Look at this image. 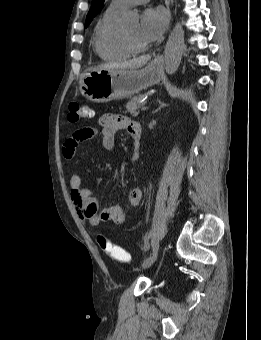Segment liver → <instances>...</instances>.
Wrapping results in <instances>:
<instances>
[{
  "label": "liver",
  "mask_w": 261,
  "mask_h": 340,
  "mask_svg": "<svg viewBox=\"0 0 261 340\" xmlns=\"http://www.w3.org/2000/svg\"><path fill=\"white\" fill-rule=\"evenodd\" d=\"M150 56H143L123 63H106L93 70H125V69H137L144 66L149 60Z\"/></svg>",
  "instance_id": "obj_1"
}]
</instances>
